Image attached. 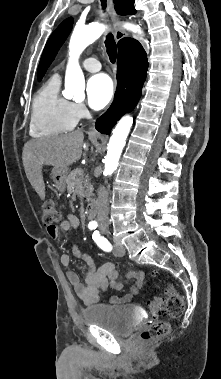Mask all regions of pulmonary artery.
<instances>
[{
  "mask_svg": "<svg viewBox=\"0 0 221 379\" xmlns=\"http://www.w3.org/2000/svg\"><path fill=\"white\" fill-rule=\"evenodd\" d=\"M82 67L89 72H97L101 69V64L96 58H86L82 62Z\"/></svg>",
  "mask_w": 221,
  "mask_h": 379,
  "instance_id": "1",
  "label": "pulmonary artery"
}]
</instances>
